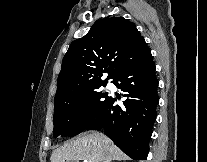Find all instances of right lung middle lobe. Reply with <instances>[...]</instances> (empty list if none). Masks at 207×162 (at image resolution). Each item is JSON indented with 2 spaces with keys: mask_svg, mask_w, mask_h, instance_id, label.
Masks as SVG:
<instances>
[{
  "mask_svg": "<svg viewBox=\"0 0 207 162\" xmlns=\"http://www.w3.org/2000/svg\"><path fill=\"white\" fill-rule=\"evenodd\" d=\"M98 88L54 100L55 137L75 136L86 129L111 99L107 93L98 92Z\"/></svg>",
  "mask_w": 207,
  "mask_h": 162,
  "instance_id": "dd1d6c3e",
  "label": "right lung middle lobe"
}]
</instances>
